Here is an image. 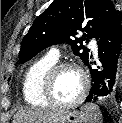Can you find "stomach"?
I'll use <instances>...</instances> for the list:
<instances>
[{
  "instance_id": "stomach-1",
  "label": "stomach",
  "mask_w": 122,
  "mask_h": 123,
  "mask_svg": "<svg viewBox=\"0 0 122 123\" xmlns=\"http://www.w3.org/2000/svg\"><path fill=\"white\" fill-rule=\"evenodd\" d=\"M88 117L84 112L62 111V113L51 123H87Z\"/></svg>"
}]
</instances>
